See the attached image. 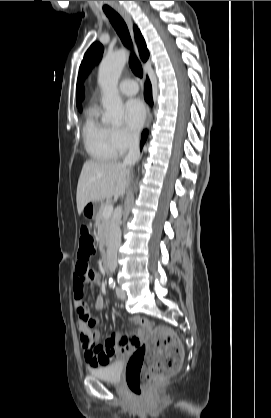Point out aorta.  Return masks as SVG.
Segmentation results:
<instances>
[{"label": "aorta", "instance_id": "1", "mask_svg": "<svg viewBox=\"0 0 271 418\" xmlns=\"http://www.w3.org/2000/svg\"><path fill=\"white\" fill-rule=\"evenodd\" d=\"M126 60L127 53L119 50L103 58L99 66L98 82L105 110L103 121L112 125H121L123 122L124 106L118 92V81Z\"/></svg>", "mask_w": 271, "mask_h": 418}]
</instances>
